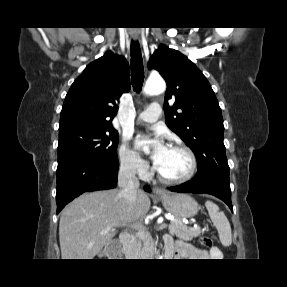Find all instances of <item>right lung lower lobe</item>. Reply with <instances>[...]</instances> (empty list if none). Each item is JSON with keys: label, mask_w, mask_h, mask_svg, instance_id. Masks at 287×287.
Wrapping results in <instances>:
<instances>
[{"label": "right lung lower lobe", "mask_w": 287, "mask_h": 287, "mask_svg": "<svg viewBox=\"0 0 287 287\" xmlns=\"http://www.w3.org/2000/svg\"><path fill=\"white\" fill-rule=\"evenodd\" d=\"M57 214L75 197L84 192L114 188L118 166L86 160H76L57 167ZM150 192V187L145 186Z\"/></svg>", "instance_id": "98d812e1"}]
</instances>
